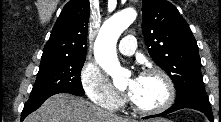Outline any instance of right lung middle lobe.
Segmentation results:
<instances>
[{
	"mask_svg": "<svg viewBox=\"0 0 221 122\" xmlns=\"http://www.w3.org/2000/svg\"><path fill=\"white\" fill-rule=\"evenodd\" d=\"M85 59L62 58L41 60L37 79L30 96H37L57 90H70L84 94L80 74Z\"/></svg>",
	"mask_w": 221,
	"mask_h": 122,
	"instance_id": "right-lung-middle-lobe-1",
	"label": "right lung middle lobe"
}]
</instances>
